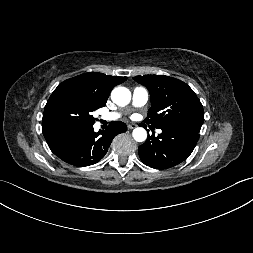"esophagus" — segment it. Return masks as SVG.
Segmentation results:
<instances>
[{
	"label": "esophagus",
	"instance_id": "34e87169",
	"mask_svg": "<svg viewBox=\"0 0 253 253\" xmlns=\"http://www.w3.org/2000/svg\"><path fill=\"white\" fill-rule=\"evenodd\" d=\"M136 124H128V129H134V128H136Z\"/></svg>",
	"mask_w": 253,
	"mask_h": 253
}]
</instances>
